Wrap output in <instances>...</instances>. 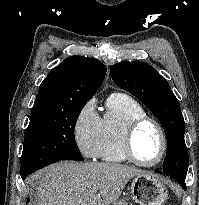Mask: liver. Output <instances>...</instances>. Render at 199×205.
<instances>
[{
  "mask_svg": "<svg viewBox=\"0 0 199 205\" xmlns=\"http://www.w3.org/2000/svg\"><path fill=\"white\" fill-rule=\"evenodd\" d=\"M137 168L116 163L57 162L34 174L38 205H110L127 182L143 174Z\"/></svg>",
  "mask_w": 199,
  "mask_h": 205,
  "instance_id": "liver-1",
  "label": "liver"
}]
</instances>
